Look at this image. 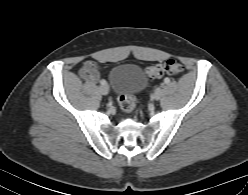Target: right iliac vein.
I'll return each instance as SVG.
<instances>
[{
	"instance_id": "obj_1",
	"label": "right iliac vein",
	"mask_w": 248,
	"mask_h": 195,
	"mask_svg": "<svg viewBox=\"0 0 248 195\" xmlns=\"http://www.w3.org/2000/svg\"><path fill=\"white\" fill-rule=\"evenodd\" d=\"M99 92H100L102 95H107L108 92H109L108 86H106V85L100 86V87H99Z\"/></svg>"
}]
</instances>
